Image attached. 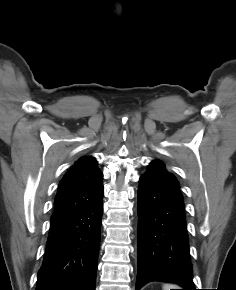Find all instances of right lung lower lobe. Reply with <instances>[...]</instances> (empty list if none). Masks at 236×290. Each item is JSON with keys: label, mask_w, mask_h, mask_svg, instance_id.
<instances>
[{"label": "right lung lower lobe", "mask_w": 236, "mask_h": 290, "mask_svg": "<svg viewBox=\"0 0 236 290\" xmlns=\"http://www.w3.org/2000/svg\"><path fill=\"white\" fill-rule=\"evenodd\" d=\"M102 197L51 220L36 290H95Z\"/></svg>", "instance_id": "obj_1"}]
</instances>
